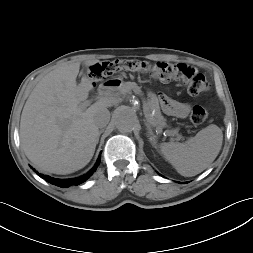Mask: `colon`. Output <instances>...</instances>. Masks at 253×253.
<instances>
[{
  "label": "colon",
  "mask_w": 253,
  "mask_h": 253,
  "mask_svg": "<svg viewBox=\"0 0 253 253\" xmlns=\"http://www.w3.org/2000/svg\"><path fill=\"white\" fill-rule=\"evenodd\" d=\"M120 71H132L162 81H181L186 86L188 93L193 96L203 94L209 89V82L202 73L182 63H150L139 59L102 61L91 66L89 76L94 81H100ZM207 116V111L203 107L194 106L190 120L194 125H200L206 121Z\"/></svg>",
  "instance_id": "colon-1"
}]
</instances>
